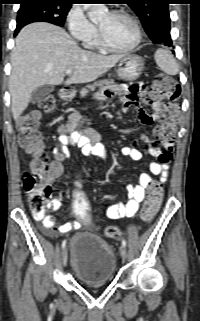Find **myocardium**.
Wrapping results in <instances>:
<instances>
[{"mask_svg": "<svg viewBox=\"0 0 200 321\" xmlns=\"http://www.w3.org/2000/svg\"><path fill=\"white\" fill-rule=\"evenodd\" d=\"M110 15L114 16V17H126L129 20L132 21V23L134 24L135 27V31H136V38L134 40V42L125 48H117L112 46L106 39V37L104 36L103 32L101 31V29L98 27L97 29V39H98V43L100 45V47H102L103 49H105L106 51L112 52V53H128L131 52L133 50H135L139 44L142 41V29H141V25L139 20L131 13H129L128 11L125 10H114L112 12L109 13Z\"/></svg>", "mask_w": 200, "mask_h": 321, "instance_id": "f54148a6", "label": "myocardium"}]
</instances>
